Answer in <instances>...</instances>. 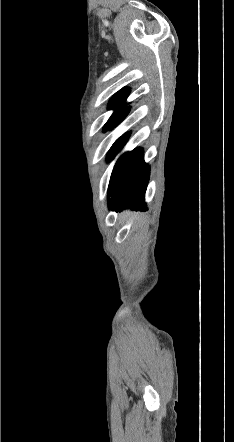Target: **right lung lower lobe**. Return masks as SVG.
Masks as SVG:
<instances>
[{"mask_svg":"<svg viewBox=\"0 0 234 442\" xmlns=\"http://www.w3.org/2000/svg\"><path fill=\"white\" fill-rule=\"evenodd\" d=\"M126 109L119 115L110 129L118 125L128 114ZM130 133L124 134L111 147L107 160L110 161L127 142ZM150 168L144 162L143 149L136 148L123 154L115 164L108 187L109 208L122 211L126 208L145 210V192L149 182Z\"/></svg>","mask_w":234,"mask_h":442,"instance_id":"98d812e1","label":"right lung lower lobe"}]
</instances>
